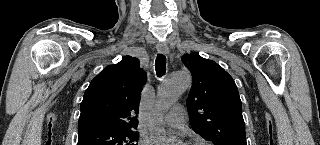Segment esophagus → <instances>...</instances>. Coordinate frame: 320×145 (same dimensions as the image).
<instances>
[{"mask_svg":"<svg viewBox=\"0 0 320 145\" xmlns=\"http://www.w3.org/2000/svg\"><path fill=\"white\" fill-rule=\"evenodd\" d=\"M157 50H158V52H160L162 54H168L169 53V48H168L167 44L163 43V42H159L157 44Z\"/></svg>","mask_w":320,"mask_h":145,"instance_id":"obj_1","label":"esophagus"}]
</instances>
